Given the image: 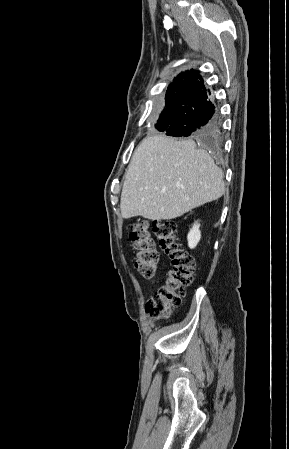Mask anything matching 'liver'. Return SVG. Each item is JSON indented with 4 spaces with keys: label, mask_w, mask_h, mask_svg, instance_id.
I'll list each match as a JSON object with an SVG mask.
<instances>
[{
    "label": "liver",
    "mask_w": 289,
    "mask_h": 449,
    "mask_svg": "<svg viewBox=\"0 0 289 449\" xmlns=\"http://www.w3.org/2000/svg\"><path fill=\"white\" fill-rule=\"evenodd\" d=\"M222 170L193 140L164 135L144 139L125 173L120 210L123 218L170 220L225 192Z\"/></svg>",
    "instance_id": "liver-1"
}]
</instances>
